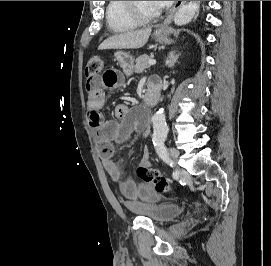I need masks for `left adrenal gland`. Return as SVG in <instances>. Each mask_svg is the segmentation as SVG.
Wrapping results in <instances>:
<instances>
[{
  "label": "left adrenal gland",
  "instance_id": "a2214340",
  "mask_svg": "<svg viewBox=\"0 0 271 266\" xmlns=\"http://www.w3.org/2000/svg\"><path fill=\"white\" fill-rule=\"evenodd\" d=\"M176 51L173 50L169 53L168 59H167V65L168 67H173L177 61V59L179 58L180 54H175Z\"/></svg>",
  "mask_w": 271,
  "mask_h": 266
}]
</instances>
